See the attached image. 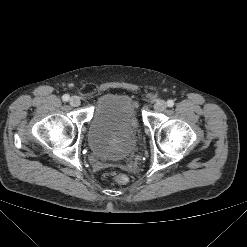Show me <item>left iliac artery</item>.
I'll return each instance as SVG.
<instances>
[{
  "mask_svg": "<svg viewBox=\"0 0 247 247\" xmlns=\"http://www.w3.org/2000/svg\"><path fill=\"white\" fill-rule=\"evenodd\" d=\"M174 105V101L173 100H168L167 101V106L168 107H172Z\"/></svg>",
  "mask_w": 247,
  "mask_h": 247,
  "instance_id": "1",
  "label": "left iliac artery"
}]
</instances>
